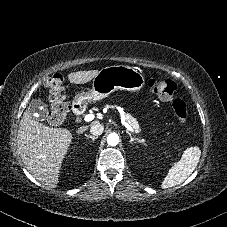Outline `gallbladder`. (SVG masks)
Segmentation results:
<instances>
[{
  "label": "gallbladder",
  "mask_w": 227,
  "mask_h": 227,
  "mask_svg": "<svg viewBox=\"0 0 227 227\" xmlns=\"http://www.w3.org/2000/svg\"><path fill=\"white\" fill-rule=\"evenodd\" d=\"M28 110L35 120L44 121L47 119V106L41 100H32Z\"/></svg>",
  "instance_id": "gallbladder-1"
}]
</instances>
